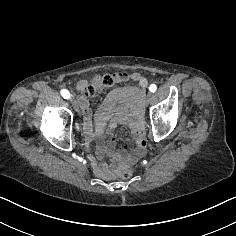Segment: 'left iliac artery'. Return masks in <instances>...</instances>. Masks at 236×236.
<instances>
[{"label":"left iliac artery","instance_id":"1","mask_svg":"<svg viewBox=\"0 0 236 236\" xmlns=\"http://www.w3.org/2000/svg\"><path fill=\"white\" fill-rule=\"evenodd\" d=\"M156 89H157V87H156L155 84H151L150 87H149V90L153 93L156 91Z\"/></svg>","mask_w":236,"mask_h":236}]
</instances>
